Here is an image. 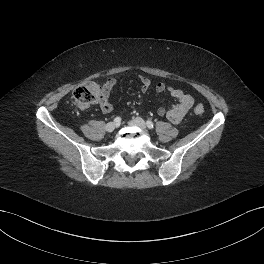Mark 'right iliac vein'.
<instances>
[{"mask_svg": "<svg viewBox=\"0 0 264 264\" xmlns=\"http://www.w3.org/2000/svg\"><path fill=\"white\" fill-rule=\"evenodd\" d=\"M116 128V124L114 122H109L107 125H106V131L107 132H113Z\"/></svg>", "mask_w": 264, "mask_h": 264, "instance_id": "1", "label": "right iliac vein"}]
</instances>
